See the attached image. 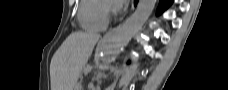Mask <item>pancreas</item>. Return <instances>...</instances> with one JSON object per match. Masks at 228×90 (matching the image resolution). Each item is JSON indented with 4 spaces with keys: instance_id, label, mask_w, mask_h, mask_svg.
Returning a JSON list of instances; mask_svg holds the SVG:
<instances>
[{
    "instance_id": "1",
    "label": "pancreas",
    "mask_w": 228,
    "mask_h": 90,
    "mask_svg": "<svg viewBox=\"0 0 228 90\" xmlns=\"http://www.w3.org/2000/svg\"><path fill=\"white\" fill-rule=\"evenodd\" d=\"M76 90H81V83L80 82H78L77 84H76V88H75Z\"/></svg>"
}]
</instances>
